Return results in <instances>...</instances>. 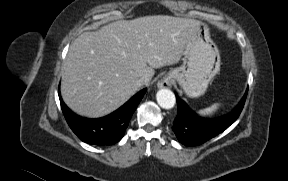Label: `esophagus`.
I'll list each match as a JSON object with an SVG mask.
<instances>
[{
  "label": "esophagus",
  "mask_w": 288,
  "mask_h": 181,
  "mask_svg": "<svg viewBox=\"0 0 288 181\" xmlns=\"http://www.w3.org/2000/svg\"><path fill=\"white\" fill-rule=\"evenodd\" d=\"M172 85V81L168 78H164L158 82V87L160 88H169Z\"/></svg>",
  "instance_id": "obj_1"
}]
</instances>
